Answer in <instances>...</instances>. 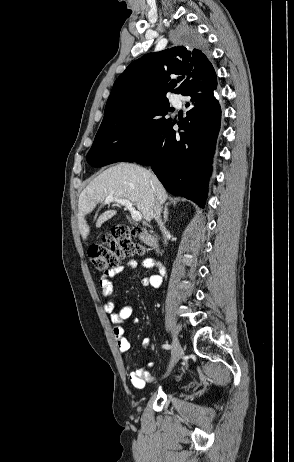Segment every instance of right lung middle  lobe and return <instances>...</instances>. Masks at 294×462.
I'll return each instance as SVG.
<instances>
[{
  "mask_svg": "<svg viewBox=\"0 0 294 462\" xmlns=\"http://www.w3.org/2000/svg\"><path fill=\"white\" fill-rule=\"evenodd\" d=\"M177 37L190 46L206 48L205 40L193 29L181 28ZM169 111L167 98H160L146 100L125 111L104 117L87 161H96L97 167L123 161L159 130L168 120L164 116Z\"/></svg>",
  "mask_w": 294,
  "mask_h": 462,
  "instance_id": "1",
  "label": "right lung middle lobe"
}]
</instances>
